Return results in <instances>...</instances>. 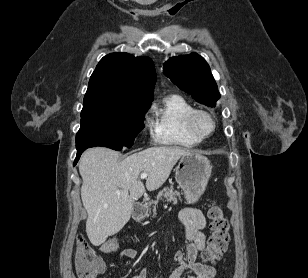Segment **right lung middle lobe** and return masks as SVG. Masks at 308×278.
<instances>
[{"label":"right lung middle lobe","mask_w":308,"mask_h":278,"mask_svg":"<svg viewBox=\"0 0 308 278\" xmlns=\"http://www.w3.org/2000/svg\"><path fill=\"white\" fill-rule=\"evenodd\" d=\"M150 105L135 111L81 116V127L76 135V148L105 146L114 150L130 147L144 128V114Z\"/></svg>","instance_id":"1"}]
</instances>
